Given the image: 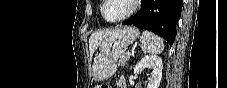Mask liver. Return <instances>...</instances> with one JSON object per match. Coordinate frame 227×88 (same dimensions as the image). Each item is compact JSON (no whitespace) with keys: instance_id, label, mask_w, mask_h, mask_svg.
I'll return each instance as SVG.
<instances>
[{"instance_id":"liver-1","label":"liver","mask_w":227,"mask_h":88,"mask_svg":"<svg viewBox=\"0 0 227 88\" xmlns=\"http://www.w3.org/2000/svg\"><path fill=\"white\" fill-rule=\"evenodd\" d=\"M111 33V31H101L93 33L89 39L90 56L93 55L100 43Z\"/></svg>"}]
</instances>
